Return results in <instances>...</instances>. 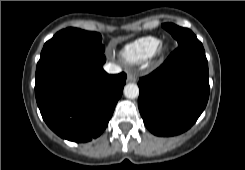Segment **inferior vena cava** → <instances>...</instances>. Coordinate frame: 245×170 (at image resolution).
Instances as JSON below:
<instances>
[{
    "label": "inferior vena cava",
    "instance_id": "obj_1",
    "mask_svg": "<svg viewBox=\"0 0 245 170\" xmlns=\"http://www.w3.org/2000/svg\"><path fill=\"white\" fill-rule=\"evenodd\" d=\"M104 70L109 74H118L121 72V68L114 64V63H108L104 66Z\"/></svg>",
    "mask_w": 245,
    "mask_h": 170
}]
</instances>
